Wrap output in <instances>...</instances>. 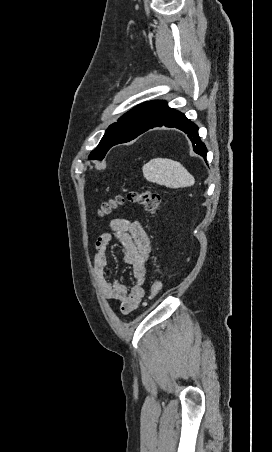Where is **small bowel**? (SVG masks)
Returning <instances> with one entry per match:
<instances>
[{
	"label": "small bowel",
	"instance_id": "obj_1",
	"mask_svg": "<svg viewBox=\"0 0 272 452\" xmlns=\"http://www.w3.org/2000/svg\"><path fill=\"white\" fill-rule=\"evenodd\" d=\"M110 228L111 233L101 234L96 241L93 272L102 296L118 302L123 314H130L139 307L145 295L150 241L141 224L130 218H115L110 222ZM114 236L123 247L125 263L132 267L133 285L130 289L108 274L107 251Z\"/></svg>",
	"mask_w": 272,
	"mask_h": 452
}]
</instances>
